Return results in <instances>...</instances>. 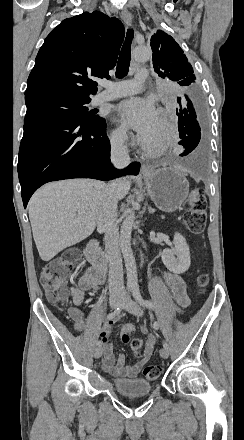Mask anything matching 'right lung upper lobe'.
Listing matches in <instances>:
<instances>
[{
	"mask_svg": "<svg viewBox=\"0 0 244 440\" xmlns=\"http://www.w3.org/2000/svg\"><path fill=\"white\" fill-rule=\"evenodd\" d=\"M124 34L121 21L99 11L63 20L37 54L25 99L48 95L90 98L97 92V83L90 77H109Z\"/></svg>",
	"mask_w": 244,
	"mask_h": 440,
	"instance_id": "1",
	"label": "right lung upper lobe"
}]
</instances>
